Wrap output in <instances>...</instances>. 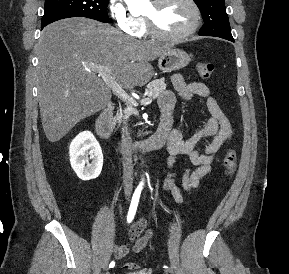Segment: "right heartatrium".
Listing matches in <instances>:
<instances>
[{"label": "right heart atrium", "instance_id": "1", "mask_svg": "<svg viewBox=\"0 0 289 274\" xmlns=\"http://www.w3.org/2000/svg\"><path fill=\"white\" fill-rule=\"evenodd\" d=\"M109 12L121 32L131 36H138L140 21L132 15L123 0H109Z\"/></svg>", "mask_w": 289, "mask_h": 274}]
</instances>
